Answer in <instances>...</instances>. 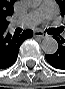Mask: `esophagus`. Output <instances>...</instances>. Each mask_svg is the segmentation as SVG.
I'll use <instances>...</instances> for the list:
<instances>
[{
    "mask_svg": "<svg viewBox=\"0 0 65 89\" xmlns=\"http://www.w3.org/2000/svg\"><path fill=\"white\" fill-rule=\"evenodd\" d=\"M33 35L35 37H39V38H46L48 36L46 33L42 32V31H39V30H35L33 32Z\"/></svg>",
    "mask_w": 65,
    "mask_h": 89,
    "instance_id": "1",
    "label": "esophagus"
}]
</instances>
